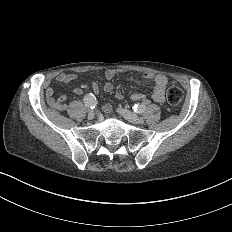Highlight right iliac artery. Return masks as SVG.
<instances>
[{"label": "right iliac artery", "instance_id": "1", "mask_svg": "<svg viewBox=\"0 0 232 232\" xmlns=\"http://www.w3.org/2000/svg\"><path fill=\"white\" fill-rule=\"evenodd\" d=\"M83 101H84L85 106L91 109H94L98 104L97 98L93 93L86 94L84 96Z\"/></svg>", "mask_w": 232, "mask_h": 232}]
</instances>
